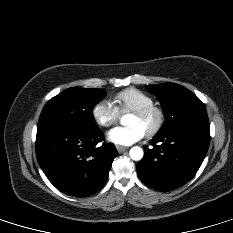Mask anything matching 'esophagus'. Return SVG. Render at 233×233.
<instances>
[{
    "mask_svg": "<svg viewBox=\"0 0 233 233\" xmlns=\"http://www.w3.org/2000/svg\"><path fill=\"white\" fill-rule=\"evenodd\" d=\"M116 149H117L118 153H122V152L126 151L128 149V147L117 145Z\"/></svg>",
    "mask_w": 233,
    "mask_h": 233,
    "instance_id": "1",
    "label": "esophagus"
}]
</instances>
